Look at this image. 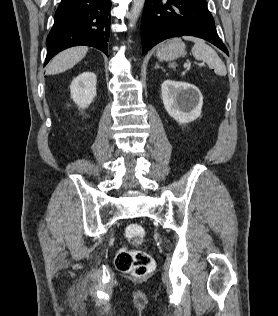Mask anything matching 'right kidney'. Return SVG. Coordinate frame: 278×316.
<instances>
[{"label":"right kidney","instance_id":"1","mask_svg":"<svg viewBox=\"0 0 278 316\" xmlns=\"http://www.w3.org/2000/svg\"><path fill=\"white\" fill-rule=\"evenodd\" d=\"M96 75L93 72H83L73 79L70 90L71 98L80 107L86 108L96 96Z\"/></svg>","mask_w":278,"mask_h":316}]
</instances>
